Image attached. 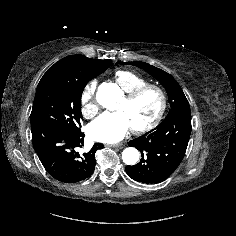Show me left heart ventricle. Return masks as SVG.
I'll list each match as a JSON object with an SVG mask.
<instances>
[{
    "label": "left heart ventricle",
    "mask_w": 236,
    "mask_h": 236,
    "mask_svg": "<svg viewBox=\"0 0 236 236\" xmlns=\"http://www.w3.org/2000/svg\"><path fill=\"white\" fill-rule=\"evenodd\" d=\"M160 105V98L155 91H148L132 102L122 99L117 107L123 111L132 127L142 126L150 122L156 115Z\"/></svg>",
    "instance_id": "b2bd125f"
}]
</instances>
